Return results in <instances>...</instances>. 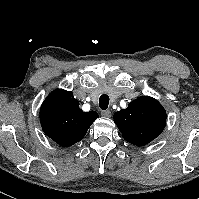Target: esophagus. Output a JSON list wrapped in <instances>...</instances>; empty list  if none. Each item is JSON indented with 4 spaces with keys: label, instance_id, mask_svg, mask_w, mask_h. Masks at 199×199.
<instances>
[{
    "label": "esophagus",
    "instance_id": "1",
    "mask_svg": "<svg viewBox=\"0 0 199 199\" xmlns=\"http://www.w3.org/2000/svg\"><path fill=\"white\" fill-rule=\"evenodd\" d=\"M101 115L104 116V117H110L111 111L110 110H102Z\"/></svg>",
    "mask_w": 199,
    "mask_h": 199
}]
</instances>
